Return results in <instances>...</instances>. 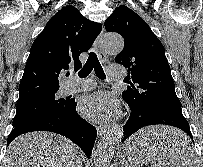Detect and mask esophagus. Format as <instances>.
I'll return each instance as SVG.
<instances>
[{"mask_svg": "<svg viewBox=\"0 0 203 167\" xmlns=\"http://www.w3.org/2000/svg\"><path fill=\"white\" fill-rule=\"evenodd\" d=\"M102 37H103V28H102L101 33L99 34V36L97 37V39L95 41V47H96V50L98 52L99 59L101 60V62H105L107 59V55H106V53L102 47ZM108 128L109 127L107 125L98 126L97 127L98 135L101 136V135L105 134L106 131L108 130Z\"/></svg>", "mask_w": 203, "mask_h": 167, "instance_id": "obj_1", "label": "esophagus"}]
</instances>
